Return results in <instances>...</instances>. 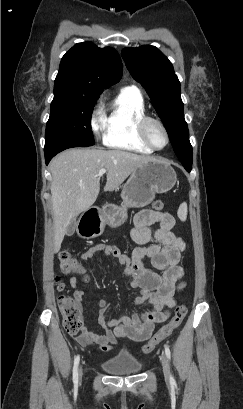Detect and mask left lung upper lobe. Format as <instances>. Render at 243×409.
<instances>
[{"label": "left lung upper lobe", "instance_id": "obj_1", "mask_svg": "<svg viewBox=\"0 0 243 409\" xmlns=\"http://www.w3.org/2000/svg\"><path fill=\"white\" fill-rule=\"evenodd\" d=\"M122 57L133 78L147 91L169 134L175 154L183 165H192V146L184 119L180 82L171 62L150 45L125 48Z\"/></svg>", "mask_w": 243, "mask_h": 409}]
</instances>
